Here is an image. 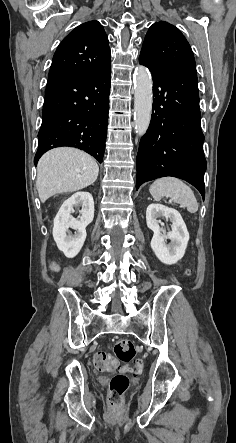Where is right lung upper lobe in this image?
Segmentation results:
<instances>
[{
  "mask_svg": "<svg viewBox=\"0 0 236 443\" xmlns=\"http://www.w3.org/2000/svg\"><path fill=\"white\" fill-rule=\"evenodd\" d=\"M110 67L107 35L98 21L83 23L59 44L49 76L96 74Z\"/></svg>",
  "mask_w": 236,
  "mask_h": 443,
  "instance_id": "1",
  "label": "right lung upper lobe"
}]
</instances>
